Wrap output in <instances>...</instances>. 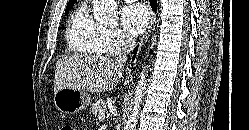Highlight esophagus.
Segmentation results:
<instances>
[{"mask_svg": "<svg viewBox=\"0 0 249 130\" xmlns=\"http://www.w3.org/2000/svg\"><path fill=\"white\" fill-rule=\"evenodd\" d=\"M154 23H155V14L154 12H151V19H150V25L145 33V35L143 36L141 42H140V48L143 47V45L147 42V40L149 39L150 35H151V32H152V29H153V26H154Z\"/></svg>", "mask_w": 249, "mask_h": 130, "instance_id": "34e87169", "label": "esophagus"}]
</instances>
